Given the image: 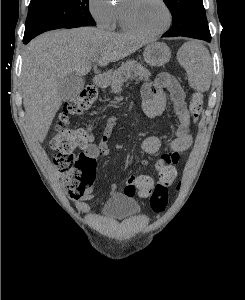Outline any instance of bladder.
I'll use <instances>...</instances> for the list:
<instances>
[{
	"label": "bladder",
	"instance_id": "1",
	"mask_svg": "<svg viewBox=\"0 0 245 300\" xmlns=\"http://www.w3.org/2000/svg\"><path fill=\"white\" fill-rule=\"evenodd\" d=\"M140 213V205L132 197L125 195L111 198L101 209V215L111 219H124Z\"/></svg>",
	"mask_w": 245,
	"mask_h": 300
}]
</instances>
